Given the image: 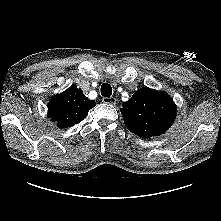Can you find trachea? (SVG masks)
<instances>
[{
	"mask_svg": "<svg viewBox=\"0 0 221 221\" xmlns=\"http://www.w3.org/2000/svg\"><path fill=\"white\" fill-rule=\"evenodd\" d=\"M101 95L104 97H110L112 95V88L108 83H104L101 86Z\"/></svg>",
	"mask_w": 221,
	"mask_h": 221,
	"instance_id": "obj_1",
	"label": "trachea"
}]
</instances>
